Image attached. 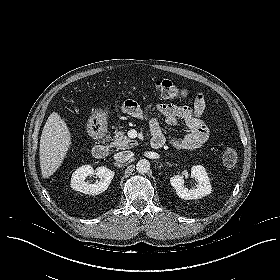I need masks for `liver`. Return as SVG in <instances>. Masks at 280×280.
<instances>
[{
  "label": "liver",
  "mask_w": 280,
  "mask_h": 280,
  "mask_svg": "<svg viewBox=\"0 0 280 280\" xmlns=\"http://www.w3.org/2000/svg\"><path fill=\"white\" fill-rule=\"evenodd\" d=\"M71 145V135L65 121L57 112L48 117L40 139V167L44 178L53 175L61 166Z\"/></svg>",
  "instance_id": "liver-1"
}]
</instances>
